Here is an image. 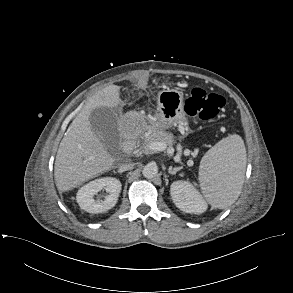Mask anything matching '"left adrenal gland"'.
<instances>
[{
	"label": "left adrenal gland",
	"mask_w": 293,
	"mask_h": 293,
	"mask_svg": "<svg viewBox=\"0 0 293 293\" xmlns=\"http://www.w3.org/2000/svg\"><path fill=\"white\" fill-rule=\"evenodd\" d=\"M182 169V167H170L168 170V173L171 175H175L178 171H180Z\"/></svg>",
	"instance_id": "obj_1"
}]
</instances>
